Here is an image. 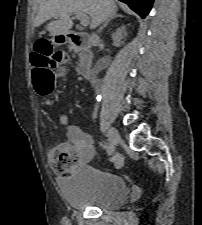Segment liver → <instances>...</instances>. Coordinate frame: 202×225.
<instances>
[{"instance_id":"1","label":"liver","mask_w":202,"mask_h":225,"mask_svg":"<svg viewBox=\"0 0 202 225\" xmlns=\"http://www.w3.org/2000/svg\"><path fill=\"white\" fill-rule=\"evenodd\" d=\"M117 11L114 0H45L38 9L34 27H40L46 21L55 18L46 25L51 35H66L73 26L72 14L84 13L91 17V28L104 22Z\"/></svg>"}]
</instances>
